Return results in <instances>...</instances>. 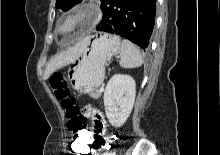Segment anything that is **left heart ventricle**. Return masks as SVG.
Here are the masks:
<instances>
[{
    "instance_id": "1",
    "label": "left heart ventricle",
    "mask_w": 220,
    "mask_h": 155,
    "mask_svg": "<svg viewBox=\"0 0 220 155\" xmlns=\"http://www.w3.org/2000/svg\"><path fill=\"white\" fill-rule=\"evenodd\" d=\"M72 25L69 23H63L61 25V31L66 32L69 31L71 29Z\"/></svg>"
}]
</instances>
